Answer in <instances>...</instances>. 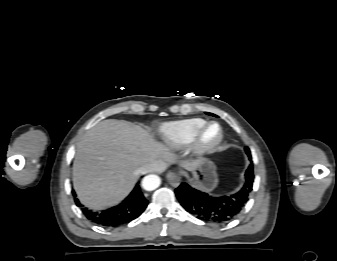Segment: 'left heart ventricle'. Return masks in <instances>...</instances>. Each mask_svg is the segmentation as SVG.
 Here are the masks:
<instances>
[{
  "mask_svg": "<svg viewBox=\"0 0 337 261\" xmlns=\"http://www.w3.org/2000/svg\"><path fill=\"white\" fill-rule=\"evenodd\" d=\"M217 135H218V129H217V127L216 126H211L204 133L203 142L205 144H209V143L213 142L216 139Z\"/></svg>",
  "mask_w": 337,
  "mask_h": 261,
  "instance_id": "obj_1",
  "label": "left heart ventricle"
}]
</instances>
